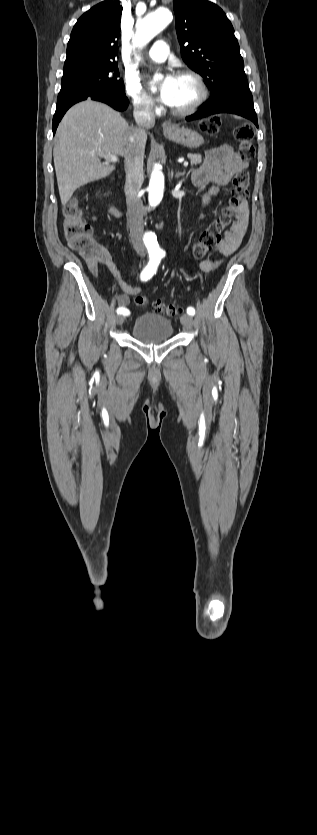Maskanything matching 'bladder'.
<instances>
[{
	"instance_id": "bladder-1",
	"label": "bladder",
	"mask_w": 317,
	"mask_h": 835,
	"mask_svg": "<svg viewBox=\"0 0 317 835\" xmlns=\"http://www.w3.org/2000/svg\"><path fill=\"white\" fill-rule=\"evenodd\" d=\"M171 320L161 314L146 313L139 316L132 325V337L145 344L168 341L173 337Z\"/></svg>"
}]
</instances>
